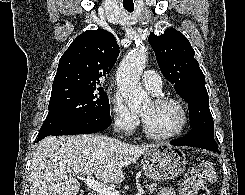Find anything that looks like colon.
I'll return each mask as SVG.
<instances>
[{
	"label": "colon",
	"instance_id": "5ec220e1",
	"mask_svg": "<svg viewBox=\"0 0 245 195\" xmlns=\"http://www.w3.org/2000/svg\"><path fill=\"white\" fill-rule=\"evenodd\" d=\"M215 164L205 161L187 172L180 187V195H208L206 183L216 181Z\"/></svg>",
	"mask_w": 245,
	"mask_h": 195
}]
</instances>
